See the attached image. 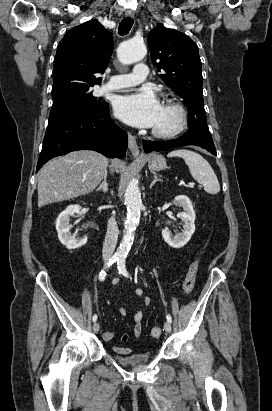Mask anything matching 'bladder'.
<instances>
[{
	"instance_id": "obj_1",
	"label": "bladder",
	"mask_w": 272,
	"mask_h": 411,
	"mask_svg": "<svg viewBox=\"0 0 272 411\" xmlns=\"http://www.w3.org/2000/svg\"><path fill=\"white\" fill-rule=\"evenodd\" d=\"M152 353H133L129 355H115V361L125 367L133 368L146 365L150 362Z\"/></svg>"
}]
</instances>
